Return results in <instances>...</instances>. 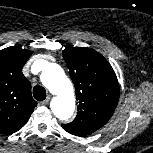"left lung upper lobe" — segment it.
<instances>
[{"instance_id": "left-lung-upper-lobe-1", "label": "left lung upper lobe", "mask_w": 153, "mask_h": 153, "mask_svg": "<svg viewBox=\"0 0 153 153\" xmlns=\"http://www.w3.org/2000/svg\"><path fill=\"white\" fill-rule=\"evenodd\" d=\"M63 56L79 105L76 118L62 127L70 134L85 136L112 116L119 99L118 80L109 62L91 48H67Z\"/></svg>"}]
</instances>
